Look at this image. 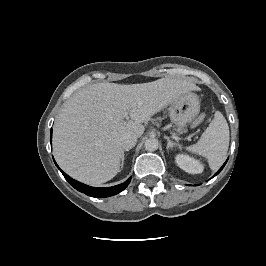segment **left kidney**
Segmentation results:
<instances>
[{
  "label": "left kidney",
  "instance_id": "obj_1",
  "mask_svg": "<svg viewBox=\"0 0 266 266\" xmlns=\"http://www.w3.org/2000/svg\"><path fill=\"white\" fill-rule=\"evenodd\" d=\"M175 161L177 165L187 173L199 174L203 172V169H204L203 164L200 161L188 155L178 154L175 157Z\"/></svg>",
  "mask_w": 266,
  "mask_h": 266
}]
</instances>
